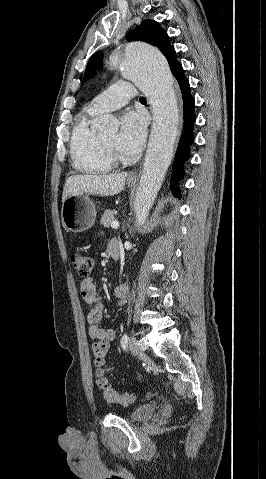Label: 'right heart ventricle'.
Returning a JSON list of instances; mask_svg holds the SVG:
<instances>
[{"instance_id": "1", "label": "right heart ventricle", "mask_w": 266, "mask_h": 479, "mask_svg": "<svg viewBox=\"0 0 266 479\" xmlns=\"http://www.w3.org/2000/svg\"><path fill=\"white\" fill-rule=\"evenodd\" d=\"M97 113L88 109L75 123L71 140L70 153L74 168L85 174H105L114 168L101 143V137L91 127V118Z\"/></svg>"}]
</instances>
